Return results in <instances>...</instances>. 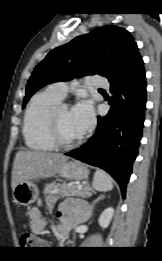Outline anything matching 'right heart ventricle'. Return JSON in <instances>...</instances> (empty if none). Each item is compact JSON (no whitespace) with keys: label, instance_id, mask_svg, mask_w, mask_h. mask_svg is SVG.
Wrapping results in <instances>:
<instances>
[{"label":"right heart ventricle","instance_id":"obj_1","mask_svg":"<svg viewBox=\"0 0 162 261\" xmlns=\"http://www.w3.org/2000/svg\"><path fill=\"white\" fill-rule=\"evenodd\" d=\"M60 101L48 89L31 98L23 120V135L27 147L35 151H51L55 148L48 131V116Z\"/></svg>","mask_w":162,"mask_h":261}]
</instances>
